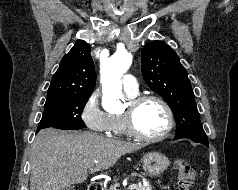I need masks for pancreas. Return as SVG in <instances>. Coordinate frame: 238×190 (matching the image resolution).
Wrapping results in <instances>:
<instances>
[{"mask_svg":"<svg viewBox=\"0 0 238 190\" xmlns=\"http://www.w3.org/2000/svg\"><path fill=\"white\" fill-rule=\"evenodd\" d=\"M136 185H137V187L135 188L136 190H152V186L150 184L144 186L141 183H137ZM118 186H119L118 184L111 185L107 190H119L117 189Z\"/></svg>","mask_w":238,"mask_h":190,"instance_id":"obj_1","label":"pancreas"}]
</instances>
